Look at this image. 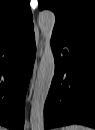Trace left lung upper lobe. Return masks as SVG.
Listing matches in <instances>:
<instances>
[{
    "instance_id": "obj_1",
    "label": "left lung upper lobe",
    "mask_w": 95,
    "mask_h": 130,
    "mask_svg": "<svg viewBox=\"0 0 95 130\" xmlns=\"http://www.w3.org/2000/svg\"><path fill=\"white\" fill-rule=\"evenodd\" d=\"M39 9L55 13L53 34L95 44V0H39Z\"/></svg>"
}]
</instances>
